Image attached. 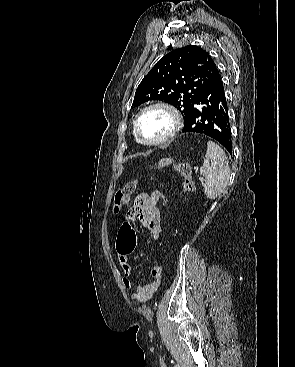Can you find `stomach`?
<instances>
[{"mask_svg": "<svg viewBox=\"0 0 295 367\" xmlns=\"http://www.w3.org/2000/svg\"><path fill=\"white\" fill-rule=\"evenodd\" d=\"M173 159L172 158H163L158 162V167L159 168H163L165 166H169L170 164H172Z\"/></svg>", "mask_w": 295, "mask_h": 367, "instance_id": "stomach-1", "label": "stomach"}]
</instances>
